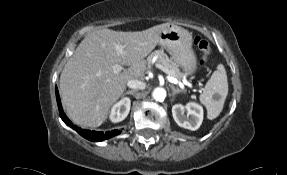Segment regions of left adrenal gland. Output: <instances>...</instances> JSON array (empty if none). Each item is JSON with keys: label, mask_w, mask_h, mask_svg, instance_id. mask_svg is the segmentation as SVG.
Returning <instances> with one entry per match:
<instances>
[{"label": "left adrenal gland", "mask_w": 287, "mask_h": 175, "mask_svg": "<svg viewBox=\"0 0 287 175\" xmlns=\"http://www.w3.org/2000/svg\"><path fill=\"white\" fill-rule=\"evenodd\" d=\"M171 89H172V96L175 97L176 94L181 93L182 90L180 89H176L173 85H170Z\"/></svg>", "instance_id": "1"}]
</instances>
